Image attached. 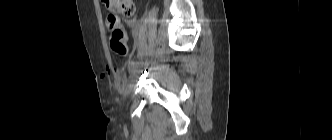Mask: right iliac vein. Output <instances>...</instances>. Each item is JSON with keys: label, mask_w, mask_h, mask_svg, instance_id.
<instances>
[{"label": "right iliac vein", "mask_w": 332, "mask_h": 140, "mask_svg": "<svg viewBox=\"0 0 332 140\" xmlns=\"http://www.w3.org/2000/svg\"><path fill=\"white\" fill-rule=\"evenodd\" d=\"M136 72H137V67L134 66V67L131 69L130 77H131V78H134V77L136 76Z\"/></svg>", "instance_id": "right-iliac-vein-1"}]
</instances>
